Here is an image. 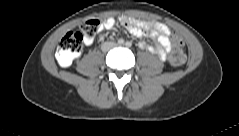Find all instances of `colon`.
Instances as JSON below:
<instances>
[{"label": "colon", "instance_id": "obj_1", "mask_svg": "<svg viewBox=\"0 0 239 136\" xmlns=\"http://www.w3.org/2000/svg\"><path fill=\"white\" fill-rule=\"evenodd\" d=\"M100 28L98 20L90 19L83 22L78 31L68 32L58 45L56 52L57 62L61 67H69L73 60L82 50L85 38H93ZM173 44V52L169 57V64L172 67H179L185 61L184 42L182 38L176 34L171 37Z\"/></svg>", "mask_w": 239, "mask_h": 136}]
</instances>
